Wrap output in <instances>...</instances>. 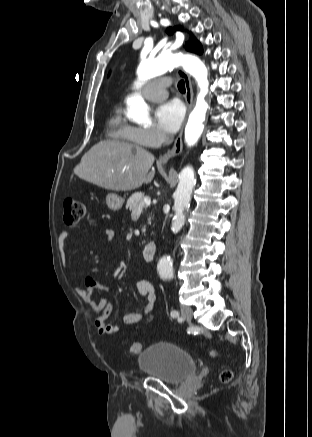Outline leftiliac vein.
<instances>
[{
    "label": "left iliac vein",
    "instance_id": "4c4485c4",
    "mask_svg": "<svg viewBox=\"0 0 312 437\" xmlns=\"http://www.w3.org/2000/svg\"><path fill=\"white\" fill-rule=\"evenodd\" d=\"M181 315L182 317L187 320L191 321L193 319V310L189 306H182L181 307Z\"/></svg>",
    "mask_w": 312,
    "mask_h": 437
}]
</instances>
